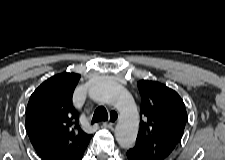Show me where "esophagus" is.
<instances>
[{"label": "esophagus", "instance_id": "esophagus-1", "mask_svg": "<svg viewBox=\"0 0 225 160\" xmlns=\"http://www.w3.org/2000/svg\"><path fill=\"white\" fill-rule=\"evenodd\" d=\"M118 118H119L118 112L113 110L110 113V121L109 122H105L103 125L105 127L111 128V127H113L115 125V123L117 122Z\"/></svg>", "mask_w": 225, "mask_h": 160}]
</instances>
